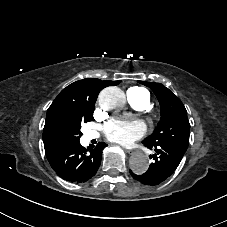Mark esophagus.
I'll return each mask as SVG.
<instances>
[{
    "label": "esophagus",
    "mask_w": 227,
    "mask_h": 227,
    "mask_svg": "<svg viewBox=\"0 0 227 227\" xmlns=\"http://www.w3.org/2000/svg\"><path fill=\"white\" fill-rule=\"evenodd\" d=\"M126 152L129 153L130 156H135L136 155V150L135 149L126 150Z\"/></svg>",
    "instance_id": "1"
}]
</instances>
